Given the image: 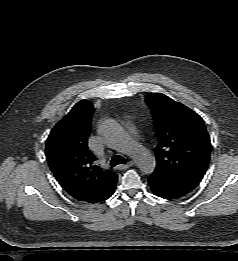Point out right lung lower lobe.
I'll return each mask as SVG.
<instances>
[{
  "instance_id": "1",
  "label": "right lung lower lobe",
  "mask_w": 238,
  "mask_h": 261,
  "mask_svg": "<svg viewBox=\"0 0 238 261\" xmlns=\"http://www.w3.org/2000/svg\"><path fill=\"white\" fill-rule=\"evenodd\" d=\"M116 187V186H115ZM115 187H113L104 197H102L101 199H98L97 202L99 201H103L108 199L109 197L112 196V194L114 193ZM96 203V202H95Z\"/></svg>"
}]
</instances>
